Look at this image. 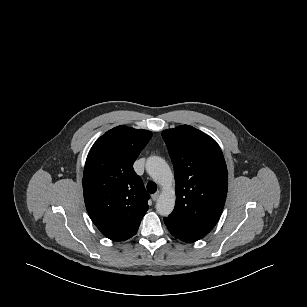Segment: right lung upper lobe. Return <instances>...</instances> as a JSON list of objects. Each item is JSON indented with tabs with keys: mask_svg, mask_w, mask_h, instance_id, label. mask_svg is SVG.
<instances>
[{
	"mask_svg": "<svg viewBox=\"0 0 307 307\" xmlns=\"http://www.w3.org/2000/svg\"><path fill=\"white\" fill-rule=\"evenodd\" d=\"M152 133L115 127L92 146L84 168L83 192L90 218L100 232L114 241L136 234L148 209L149 194L133 163Z\"/></svg>",
	"mask_w": 307,
	"mask_h": 307,
	"instance_id": "1",
	"label": "right lung upper lobe"
}]
</instances>
